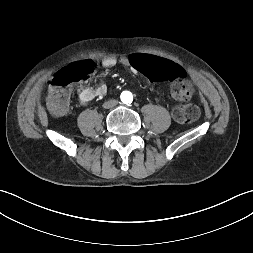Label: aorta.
<instances>
[{"label": "aorta", "instance_id": "1", "mask_svg": "<svg viewBox=\"0 0 253 253\" xmlns=\"http://www.w3.org/2000/svg\"><path fill=\"white\" fill-rule=\"evenodd\" d=\"M132 99H133V96L130 92L128 91H124L122 94H121V100L122 102L124 103H131L132 102Z\"/></svg>", "mask_w": 253, "mask_h": 253}]
</instances>
